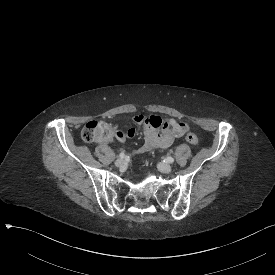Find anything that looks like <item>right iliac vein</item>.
<instances>
[{
	"label": "right iliac vein",
	"mask_w": 275,
	"mask_h": 275,
	"mask_svg": "<svg viewBox=\"0 0 275 275\" xmlns=\"http://www.w3.org/2000/svg\"><path fill=\"white\" fill-rule=\"evenodd\" d=\"M126 164V161L125 160H123V159H117L116 161H115V165L117 166V167H124V165Z\"/></svg>",
	"instance_id": "63e3f726"
}]
</instances>
